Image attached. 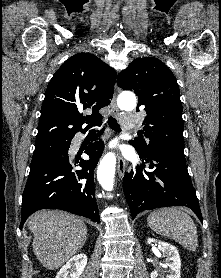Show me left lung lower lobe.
Instances as JSON below:
<instances>
[{"label":"left lung lower lobe","instance_id":"0a47b994","mask_svg":"<svg viewBox=\"0 0 221 278\" xmlns=\"http://www.w3.org/2000/svg\"><path fill=\"white\" fill-rule=\"evenodd\" d=\"M183 149L164 146L153 149L147 156L139 154L143 165L126 173L123 179V190L133 219L144 210L186 206L203 222ZM145 163H149L147 169Z\"/></svg>","mask_w":221,"mask_h":278}]
</instances>
